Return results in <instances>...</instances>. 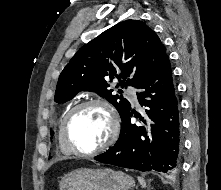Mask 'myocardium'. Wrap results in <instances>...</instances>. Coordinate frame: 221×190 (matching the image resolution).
<instances>
[{
	"label": "myocardium",
	"instance_id": "1",
	"mask_svg": "<svg viewBox=\"0 0 221 190\" xmlns=\"http://www.w3.org/2000/svg\"><path fill=\"white\" fill-rule=\"evenodd\" d=\"M90 105L102 106L108 112L110 116V121H111L110 133H109L108 138L105 140V142L99 145L98 147H95L90 150H84V149L78 148L72 142L68 133V129H69L70 121L72 117L74 116V114L81 108L90 106ZM119 132H120V120H119L118 113L116 109L114 108L113 104L104 98H90V99L77 103L65 114L60 125V133H61L62 141L65 143L67 148L73 154L80 155V156H91V155H95V154H98L100 152L107 150L110 146H112L115 143V141L118 138Z\"/></svg>",
	"mask_w": 221,
	"mask_h": 190
}]
</instances>
